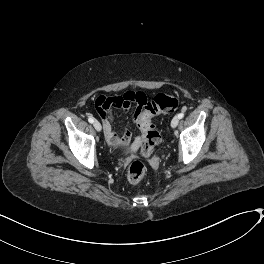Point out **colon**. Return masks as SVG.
Returning a JSON list of instances; mask_svg holds the SVG:
<instances>
[{"label":"colon","mask_w":264,"mask_h":264,"mask_svg":"<svg viewBox=\"0 0 264 264\" xmlns=\"http://www.w3.org/2000/svg\"><path fill=\"white\" fill-rule=\"evenodd\" d=\"M178 106V98L175 96L158 95L143 105V116L138 126L142 130L141 152L143 156L150 157L154 148L160 143V134L156 130L152 120L161 113L174 111ZM146 173V167L141 161L130 164L127 178L130 182H139Z\"/></svg>","instance_id":"colon-1"}]
</instances>
